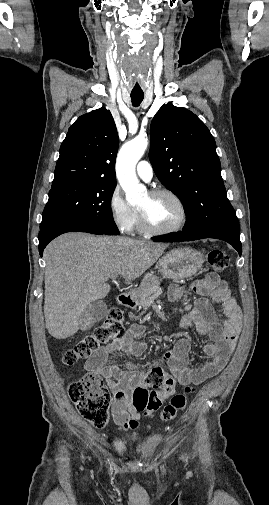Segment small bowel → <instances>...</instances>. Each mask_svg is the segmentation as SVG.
Segmentation results:
<instances>
[{
	"mask_svg": "<svg viewBox=\"0 0 269 505\" xmlns=\"http://www.w3.org/2000/svg\"><path fill=\"white\" fill-rule=\"evenodd\" d=\"M191 289L198 295L194 307L182 317L184 327L194 326L201 335H208L210 342L203 346V352L210 358L195 367L188 365L190 342L182 338L173 350L164 355L169 371L181 385H198L217 375L227 364L234 349L241 328V310L224 280L217 273L210 272L204 278L193 282ZM181 288L173 286L170 297L178 299ZM210 299L220 305L223 321H220ZM144 326L133 324L120 338L113 340L90 357L85 363L88 374L103 377L113 395L112 414L115 423L122 430H135L139 426L140 413L131 399L132 391L141 382L144 374L127 364L123 370L110 357L125 352L132 357H140L145 346L135 341L143 333ZM155 367H158L156 364Z\"/></svg>",
	"mask_w": 269,
	"mask_h": 505,
	"instance_id": "c3829d8e",
	"label": "small bowel"
}]
</instances>
